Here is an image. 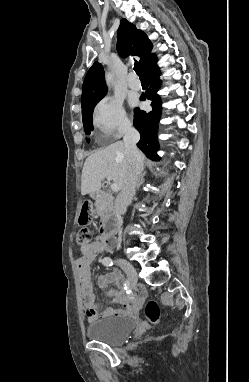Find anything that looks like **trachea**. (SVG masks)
Instances as JSON below:
<instances>
[{
	"mask_svg": "<svg viewBox=\"0 0 249 382\" xmlns=\"http://www.w3.org/2000/svg\"><path fill=\"white\" fill-rule=\"evenodd\" d=\"M134 71L139 76V78H146V75L142 71V69H141V67L137 61H135V64H134Z\"/></svg>",
	"mask_w": 249,
	"mask_h": 382,
	"instance_id": "obj_1",
	"label": "trachea"
}]
</instances>
